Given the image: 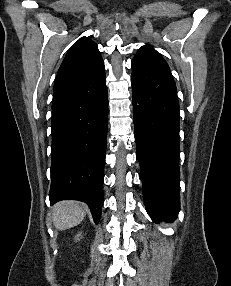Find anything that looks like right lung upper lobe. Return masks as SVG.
Instances as JSON below:
<instances>
[{
  "mask_svg": "<svg viewBox=\"0 0 231 286\" xmlns=\"http://www.w3.org/2000/svg\"><path fill=\"white\" fill-rule=\"evenodd\" d=\"M104 62L97 45L88 37L80 38L66 54L56 77L54 90L97 75Z\"/></svg>",
  "mask_w": 231,
  "mask_h": 286,
  "instance_id": "right-lung-upper-lobe-1",
  "label": "right lung upper lobe"
}]
</instances>
